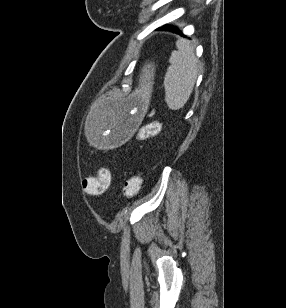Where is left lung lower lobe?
<instances>
[{
	"label": "left lung lower lobe",
	"mask_w": 286,
	"mask_h": 308,
	"mask_svg": "<svg viewBox=\"0 0 286 308\" xmlns=\"http://www.w3.org/2000/svg\"><path fill=\"white\" fill-rule=\"evenodd\" d=\"M158 30H168V31H172V32H176V33L182 34L181 31H178L176 27H172V26H163V27L158 28Z\"/></svg>",
	"instance_id": "obj_1"
}]
</instances>
